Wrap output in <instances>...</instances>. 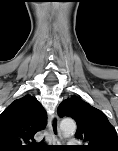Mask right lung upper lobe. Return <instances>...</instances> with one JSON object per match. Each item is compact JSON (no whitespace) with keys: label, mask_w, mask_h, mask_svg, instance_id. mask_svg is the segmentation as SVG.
Instances as JSON below:
<instances>
[{"label":"right lung upper lobe","mask_w":118,"mask_h":151,"mask_svg":"<svg viewBox=\"0 0 118 151\" xmlns=\"http://www.w3.org/2000/svg\"><path fill=\"white\" fill-rule=\"evenodd\" d=\"M46 125L47 114L36 98L13 101L0 115V151L32 150L34 135Z\"/></svg>","instance_id":"obj_1"}]
</instances>
